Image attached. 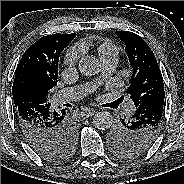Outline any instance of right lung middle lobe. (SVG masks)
<instances>
[{"label": "right lung middle lobe", "instance_id": "dd1d6c3e", "mask_svg": "<svg viewBox=\"0 0 184 184\" xmlns=\"http://www.w3.org/2000/svg\"><path fill=\"white\" fill-rule=\"evenodd\" d=\"M24 103H30L31 98L28 95L22 96ZM76 130L74 127L65 131V135L60 144L51 147L50 149L38 152L39 156L48 161H60L68 158L75 147Z\"/></svg>", "mask_w": 184, "mask_h": 184}]
</instances>
